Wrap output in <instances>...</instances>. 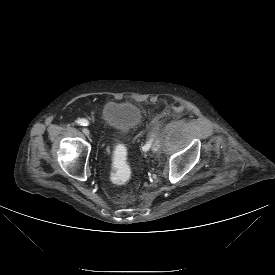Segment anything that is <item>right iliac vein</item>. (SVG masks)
Masks as SVG:
<instances>
[{
	"instance_id": "right-iliac-vein-1",
	"label": "right iliac vein",
	"mask_w": 275,
	"mask_h": 275,
	"mask_svg": "<svg viewBox=\"0 0 275 275\" xmlns=\"http://www.w3.org/2000/svg\"><path fill=\"white\" fill-rule=\"evenodd\" d=\"M82 132H83V134L86 135V136H89V135H90V132H89V130H88L87 128H83V129H82Z\"/></svg>"
}]
</instances>
